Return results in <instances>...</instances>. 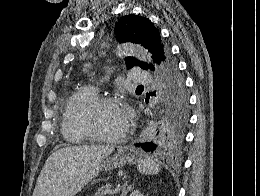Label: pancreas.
<instances>
[{"label": "pancreas", "mask_w": 260, "mask_h": 196, "mask_svg": "<svg viewBox=\"0 0 260 196\" xmlns=\"http://www.w3.org/2000/svg\"><path fill=\"white\" fill-rule=\"evenodd\" d=\"M108 190L109 186H103V188H99V190H97L95 196H106Z\"/></svg>", "instance_id": "obj_1"}]
</instances>
